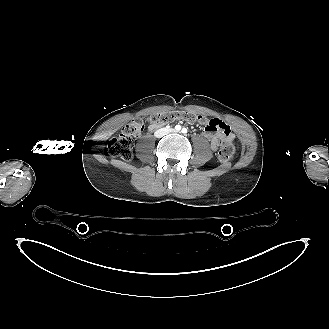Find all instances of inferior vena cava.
Wrapping results in <instances>:
<instances>
[{
	"label": "inferior vena cava",
	"mask_w": 329,
	"mask_h": 329,
	"mask_svg": "<svg viewBox=\"0 0 329 329\" xmlns=\"http://www.w3.org/2000/svg\"><path fill=\"white\" fill-rule=\"evenodd\" d=\"M165 133H166V131H164V130L163 131H160V132H157L156 133V137H158V138L159 137H162L163 135H165Z\"/></svg>",
	"instance_id": "602c4592"
}]
</instances>
